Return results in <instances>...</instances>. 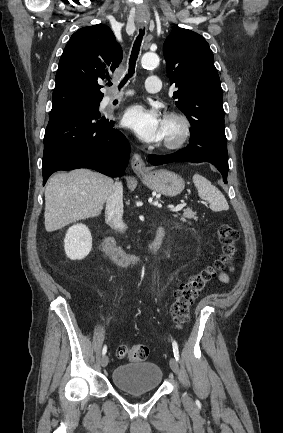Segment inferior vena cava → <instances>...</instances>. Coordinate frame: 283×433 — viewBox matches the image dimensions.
Here are the masks:
<instances>
[{"label": "inferior vena cava", "instance_id": "inferior-vena-cava-1", "mask_svg": "<svg viewBox=\"0 0 283 433\" xmlns=\"http://www.w3.org/2000/svg\"><path fill=\"white\" fill-rule=\"evenodd\" d=\"M123 214V186L122 182H114L113 188L107 198L105 217L110 225H115L118 231L123 233L122 229Z\"/></svg>", "mask_w": 283, "mask_h": 433}]
</instances>
